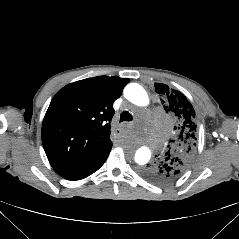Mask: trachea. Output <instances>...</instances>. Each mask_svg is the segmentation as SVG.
Returning <instances> with one entry per match:
<instances>
[{
	"label": "trachea",
	"instance_id": "obj_1",
	"mask_svg": "<svg viewBox=\"0 0 239 239\" xmlns=\"http://www.w3.org/2000/svg\"><path fill=\"white\" fill-rule=\"evenodd\" d=\"M133 116L128 111H123L120 115V122L131 121Z\"/></svg>",
	"mask_w": 239,
	"mask_h": 239
}]
</instances>
